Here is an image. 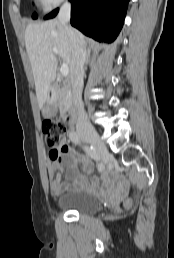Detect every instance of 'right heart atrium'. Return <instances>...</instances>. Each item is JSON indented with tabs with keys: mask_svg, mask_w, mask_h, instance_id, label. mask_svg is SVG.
I'll use <instances>...</instances> for the list:
<instances>
[{
	"mask_svg": "<svg viewBox=\"0 0 174 258\" xmlns=\"http://www.w3.org/2000/svg\"><path fill=\"white\" fill-rule=\"evenodd\" d=\"M65 0H39L45 11H51Z\"/></svg>",
	"mask_w": 174,
	"mask_h": 258,
	"instance_id": "1",
	"label": "right heart atrium"
}]
</instances>
